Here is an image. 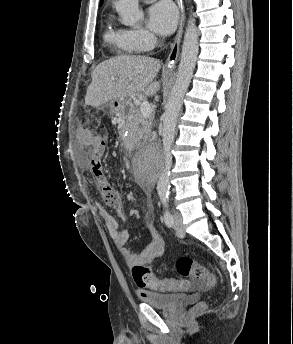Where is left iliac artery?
I'll list each match as a JSON object with an SVG mask.
<instances>
[{
    "instance_id": "1",
    "label": "left iliac artery",
    "mask_w": 293,
    "mask_h": 344,
    "mask_svg": "<svg viewBox=\"0 0 293 344\" xmlns=\"http://www.w3.org/2000/svg\"><path fill=\"white\" fill-rule=\"evenodd\" d=\"M161 201H162L164 209H165L164 210V222L168 227H172L173 217H172V214L169 210V197L167 195L162 196Z\"/></svg>"
}]
</instances>
